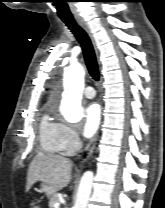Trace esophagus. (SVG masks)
Returning a JSON list of instances; mask_svg holds the SVG:
<instances>
[{"label": "esophagus", "instance_id": "1", "mask_svg": "<svg viewBox=\"0 0 165 208\" xmlns=\"http://www.w3.org/2000/svg\"><path fill=\"white\" fill-rule=\"evenodd\" d=\"M77 23L85 30V32L88 34V36L90 37V39L92 40L93 44H94V38H93V35H92V32L89 28V26L87 25V23L83 20V19H77L76 20ZM96 138L93 140V142L91 143V146L89 148V152H88V155H91L95 146H96Z\"/></svg>", "mask_w": 165, "mask_h": 208}]
</instances>
